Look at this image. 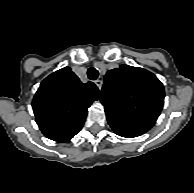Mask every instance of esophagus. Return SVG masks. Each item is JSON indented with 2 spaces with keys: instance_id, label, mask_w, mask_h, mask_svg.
<instances>
[{
  "instance_id": "34e87169",
  "label": "esophagus",
  "mask_w": 194,
  "mask_h": 193,
  "mask_svg": "<svg viewBox=\"0 0 194 193\" xmlns=\"http://www.w3.org/2000/svg\"><path fill=\"white\" fill-rule=\"evenodd\" d=\"M95 84H96V86L98 87V89L101 91V89H102V84H103L102 80H100V79L96 80V81H95Z\"/></svg>"
}]
</instances>
